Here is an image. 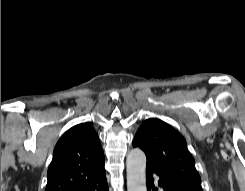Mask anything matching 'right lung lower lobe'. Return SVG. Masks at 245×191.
<instances>
[{
    "label": "right lung lower lobe",
    "instance_id": "1",
    "mask_svg": "<svg viewBox=\"0 0 245 191\" xmlns=\"http://www.w3.org/2000/svg\"><path fill=\"white\" fill-rule=\"evenodd\" d=\"M71 191H109L106 176L92 179L86 184L76 187Z\"/></svg>",
    "mask_w": 245,
    "mask_h": 191
}]
</instances>
